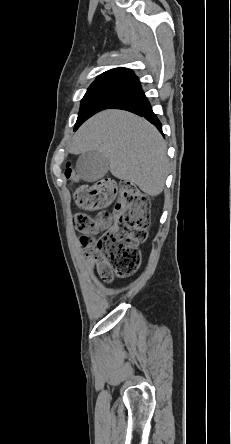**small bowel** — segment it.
<instances>
[{
  "label": "small bowel",
  "instance_id": "obj_1",
  "mask_svg": "<svg viewBox=\"0 0 231 444\" xmlns=\"http://www.w3.org/2000/svg\"><path fill=\"white\" fill-rule=\"evenodd\" d=\"M85 263L91 272H96L99 275L106 270V265L100 254L89 250L85 254Z\"/></svg>",
  "mask_w": 231,
  "mask_h": 444
}]
</instances>
